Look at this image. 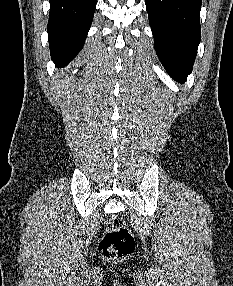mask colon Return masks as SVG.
I'll return each mask as SVG.
<instances>
[{
	"label": "colon",
	"mask_w": 233,
	"mask_h": 286,
	"mask_svg": "<svg viewBox=\"0 0 233 286\" xmlns=\"http://www.w3.org/2000/svg\"><path fill=\"white\" fill-rule=\"evenodd\" d=\"M134 247V236L124 219L118 215L110 216L107 220L106 232L99 244L101 255L106 259L116 260L131 254Z\"/></svg>",
	"instance_id": "colon-1"
}]
</instances>
